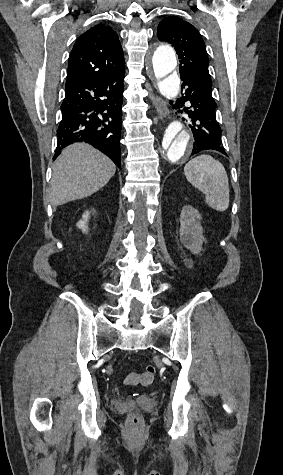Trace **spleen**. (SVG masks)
Returning <instances> with one entry per match:
<instances>
[{"label": "spleen", "instance_id": "1", "mask_svg": "<svg viewBox=\"0 0 283 475\" xmlns=\"http://www.w3.org/2000/svg\"><path fill=\"white\" fill-rule=\"evenodd\" d=\"M184 174L202 194H206V204L217 210L225 212L229 206V180L226 170L218 160L212 156L201 154L190 160L184 168Z\"/></svg>", "mask_w": 283, "mask_h": 475}]
</instances>
